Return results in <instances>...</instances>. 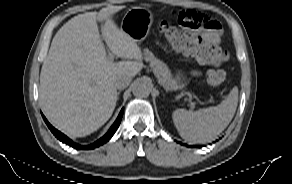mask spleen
Masks as SVG:
<instances>
[{"instance_id":"1","label":"spleen","mask_w":292,"mask_h":184,"mask_svg":"<svg viewBox=\"0 0 292 184\" xmlns=\"http://www.w3.org/2000/svg\"><path fill=\"white\" fill-rule=\"evenodd\" d=\"M238 104L234 87L219 105L192 112L176 109L172 113L179 135L190 143H205L217 137L231 122Z\"/></svg>"}]
</instances>
